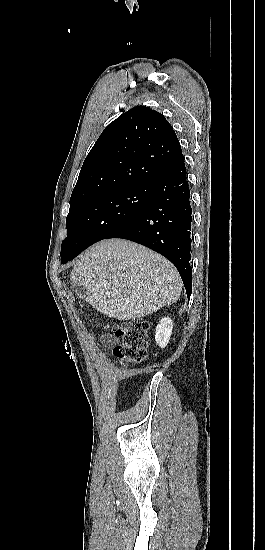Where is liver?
Wrapping results in <instances>:
<instances>
[{"label": "liver", "mask_w": 265, "mask_h": 550, "mask_svg": "<svg viewBox=\"0 0 265 550\" xmlns=\"http://www.w3.org/2000/svg\"><path fill=\"white\" fill-rule=\"evenodd\" d=\"M95 310L118 320L143 317L175 303L182 281L158 253L123 239L103 240L79 256L70 274Z\"/></svg>", "instance_id": "liver-1"}]
</instances>
